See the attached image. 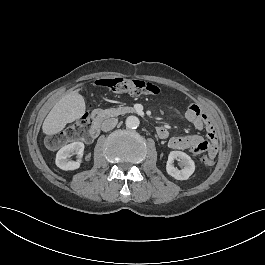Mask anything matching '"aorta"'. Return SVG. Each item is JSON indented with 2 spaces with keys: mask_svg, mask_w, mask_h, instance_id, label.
I'll return each mask as SVG.
<instances>
[{
  "mask_svg": "<svg viewBox=\"0 0 265 265\" xmlns=\"http://www.w3.org/2000/svg\"><path fill=\"white\" fill-rule=\"evenodd\" d=\"M140 125V120L138 117L136 116H129L127 119H126V126L129 128V129H136L138 128Z\"/></svg>",
  "mask_w": 265,
  "mask_h": 265,
  "instance_id": "1",
  "label": "aorta"
}]
</instances>
